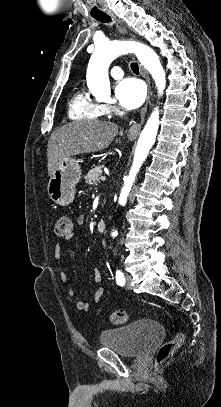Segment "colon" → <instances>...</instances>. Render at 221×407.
Returning a JSON list of instances; mask_svg holds the SVG:
<instances>
[{
	"label": "colon",
	"instance_id": "1",
	"mask_svg": "<svg viewBox=\"0 0 221 407\" xmlns=\"http://www.w3.org/2000/svg\"><path fill=\"white\" fill-rule=\"evenodd\" d=\"M72 224L68 216L62 215L58 218L55 231L60 237H66L71 233ZM110 321L117 325H124L128 321V313L124 310L114 311L110 314ZM184 340V334L178 332L172 339L162 345L158 353V364L162 365L173 354L177 347L181 345Z\"/></svg>",
	"mask_w": 221,
	"mask_h": 407
}]
</instances>
